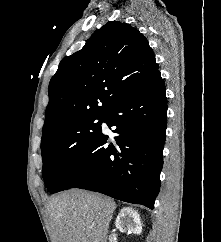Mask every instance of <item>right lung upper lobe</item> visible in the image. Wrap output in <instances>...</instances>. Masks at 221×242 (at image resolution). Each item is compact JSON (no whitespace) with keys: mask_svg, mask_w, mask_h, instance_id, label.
Returning a JSON list of instances; mask_svg holds the SVG:
<instances>
[{"mask_svg":"<svg viewBox=\"0 0 221 242\" xmlns=\"http://www.w3.org/2000/svg\"><path fill=\"white\" fill-rule=\"evenodd\" d=\"M147 39L130 24L111 21L59 64L49 83L43 135L77 118L103 115L158 71Z\"/></svg>","mask_w":221,"mask_h":242,"instance_id":"right-lung-upper-lobe-1","label":"right lung upper lobe"}]
</instances>
